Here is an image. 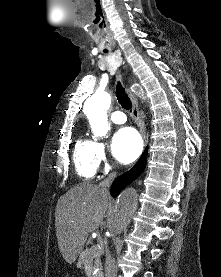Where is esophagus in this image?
<instances>
[{
  "label": "esophagus",
  "instance_id": "1",
  "mask_svg": "<svg viewBox=\"0 0 221 277\" xmlns=\"http://www.w3.org/2000/svg\"><path fill=\"white\" fill-rule=\"evenodd\" d=\"M127 93H128V95L131 99V102H132V115L135 118L136 123H137V125L140 129V132H141L143 138L146 141L145 128H144V125H143V119H142V117L139 113L138 101H137L136 95L130 87L127 88Z\"/></svg>",
  "mask_w": 221,
  "mask_h": 277
}]
</instances>
